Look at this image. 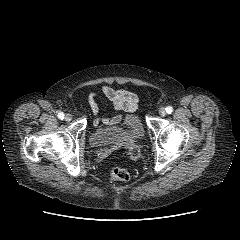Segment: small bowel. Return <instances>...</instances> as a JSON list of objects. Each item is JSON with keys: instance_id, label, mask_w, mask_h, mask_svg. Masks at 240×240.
<instances>
[{"instance_id": "1", "label": "small bowel", "mask_w": 240, "mask_h": 240, "mask_svg": "<svg viewBox=\"0 0 240 240\" xmlns=\"http://www.w3.org/2000/svg\"><path fill=\"white\" fill-rule=\"evenodd\" d=\"M100 92L105 99L110 101L114 107L120 111H132L137 107L138 95L133 91L102 85ZM98 98L99 95L95 92H90L87 95V101L95 115L98 113ZM120 120V115H115L112 118L97 119L94 122V126L98 127L100 123L104 127L110 126L119 123Z\"/></svg>"}]
</instances>
